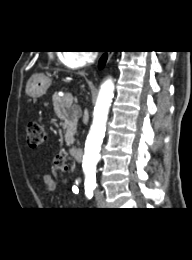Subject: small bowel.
<instances>
[{
    "mask_svg": "<svg viewBox=\"0 0 192 260\" xmlns=\"http://www.w3.org/2000/svg\"><path fill=\"white\" fill-rule=\"evenodd\" d=\"M59 186V182L51 174H46L43 179V187L46 192H53Z\"/></svg>",
    "mask_w": 192,
    "mask_h": 260,
    "instance_id": "c3829d8e",
    "label": "small bowel"
}]
</instances>
